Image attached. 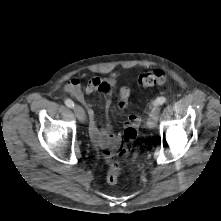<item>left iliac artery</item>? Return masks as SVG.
<instances>
[{"label":"left iliac artery","mask_w":221,"mask_h":221,"mask_svg":"<svg viewBox=\"0 0 221 221\" xmlns=\"http://www.w3.org/2000/svg\"><path fill=\"white\" fill-rule=\"evenodd\" d=\"M166 102V98L165 97H158L155 102L154 105L158 106V105H162Z\"/></svg>","instance_id":"44dca946"}]
</instances>
